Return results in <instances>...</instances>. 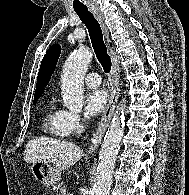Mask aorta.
I'll use <instances>...</instances> for the list:
<instances>
[{
  "instance_id": "aorta-1",
  "label": "aorta",
  "mask_w": 189,
  "mask_h": 195,
  "mask_svg": "<svg viewBox=\"0 0 189 195\" xmlns=\"http://www.w3.org/2000/svg\"><path fill=\"white\" fill-rule=\"evenodd\" d=\"M91 59L92 53L80 47L68 57L63 65L61 76L63 104L71 111H81L83 107V78ZM124 119L125 104L121 103L117 106L100 149L94 195H109L113 169L124 134Z\"/></svg>"
}]
</instances>
